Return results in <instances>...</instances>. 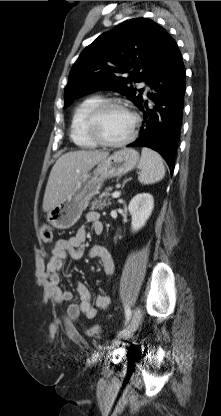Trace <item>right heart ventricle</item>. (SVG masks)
<instances>
[{"label":"right heart ventricle","mask_w":221,"mask_h":416,"mask_svg":"<svg viewBox=\"0 0 221 416\" xmlns=\"http://www.w3.org/2000/svg\"><path fill=\"white\" fill-rule=\"evenodd\" d=\"M101 101L102 98L100 96H89L75 108L71 119L70 136L77 146L93 148L98 145L86 131V120L92 109Z\"/></svg>","instance_id":"e07e8e85"}]
</instances>
